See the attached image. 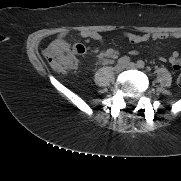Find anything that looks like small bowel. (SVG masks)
<instances>
[{"label":"small bowel","instance_id":"1","mask_svg":"<svg viewBox=\"0 0 181 181\" xmlns=\"http://www.w3.org/2000/svg\"><path fill=\"white\" fill-rule=\"evenodd\" d=\"M65 33H60L57 39L53 42V46L57 48H69L68 43L64 40ZM81 36L83 38H89L96 41H99L103 44L102 36L95 31H86L82 32ZM124 36L133 44L143 43L149 40H166L169 38L179 39L181 38V32H158L153 34H133V33H125ZM133 53H137L134 51ZM118 51L114 49H106L103 48L99 57L100 59L111 58L115 59L118 57ZM162 61L165 58H161ZM169 62L172 65V68L175 71L181 70V56L178 52H173L172 55L169 57Z\"/></svg>","mask_w":181,"mask_h":181}]
</instances>
